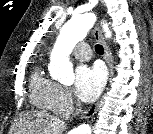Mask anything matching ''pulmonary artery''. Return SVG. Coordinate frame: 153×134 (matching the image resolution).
I'll list each match as a JSON object with an SVG mask.
<instances>
[{"mask_svg":"<svg viewBox=\"0 0 153 134\" xmlns=\"http://www.w3.org/2000/svg\"><path fill=\"white\" fill-rule=\"evenodd\" d=\"M73 55L80 61H85L90 58L91 52L88 44L80 43L73 51Z\"/></svg>","mask_w":153,"mask_h":134,"instance_id":"obj_1","label":"pulmonary artery"}]
</instances>
